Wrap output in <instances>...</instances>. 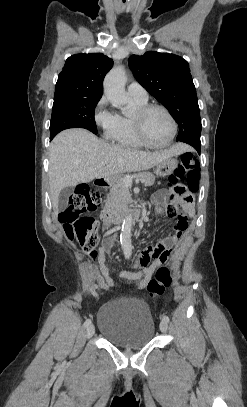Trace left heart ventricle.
Instances as JSON below:
<instances>
[{"label": "left heart ventricle", "mask_w": 247, "mask_h": 407, "mask_svg": "<svg viewBox=\"0 0 247 407\" xmlns=\"http://www.w3.org/2000/svg\"><path fill=\"white\" fill-rule=\"evenodd\" d=\"M143 130L149 142L160 145L170 138L172 123L161 110H152L144 118Z\"/></svg>", "instance_id": "obj_1"}]
</instances>
